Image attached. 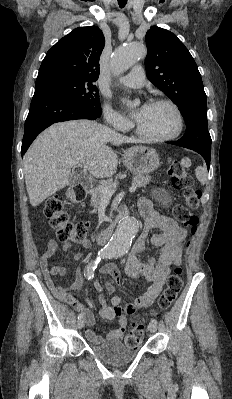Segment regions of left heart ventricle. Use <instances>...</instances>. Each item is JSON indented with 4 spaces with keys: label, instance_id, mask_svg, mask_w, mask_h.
Returning a JSON list of instances; mask_svg holds the SVG:
<instances>
[{
    "label": "left heart ventricle",
    "instance_id": "obj_1",
    "mask_svg": "<svg viewBox=\"0 0 232 399\" xmlns=\"http://www.w3.org/2000/svg\"><path fill=\"white\" fill-rule=\"evenodd\" d=\"M136 123L146 135L162 137L176 130L177 117L175 111L168 105L146 106L136 119Z\"/></svg>",
    "mask_w": 232,
    "mask_h": 399
}]
</instances>
